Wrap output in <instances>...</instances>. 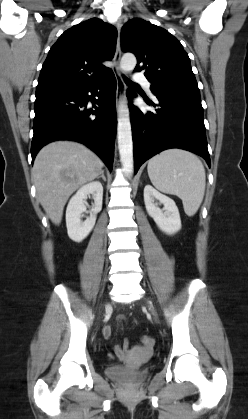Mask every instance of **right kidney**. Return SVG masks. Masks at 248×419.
Segmentation results:
<instances>
[{"instance_id":"1","label":"right kidney","mask_w":248,"mask_h":419,"mask_svg":"<svg viewBox=\"0 0 248 419\" xmlns=\"http://www.w3.org/2000/svg\"><path fill=\"white\" fill-rule=\"evenodd\" d=\"M92 195L94 204L90 217L84 222L81 221V214L86 211L85 200ZM103 186L100 182L94 181L82 186L70 199L66 210V226L68 236L75 242L85 239L96 222V215L102 209Z\"/></svg>"}]
</instances>
